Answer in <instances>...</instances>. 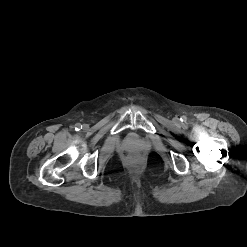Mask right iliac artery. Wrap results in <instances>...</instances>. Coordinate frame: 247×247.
<instances>
[{
	"label": "right iliac artery",
	"instance_id": "1",
	"mask_svg": "<svg viewBox=\"0 0 247 247\" xmlns=\"http://www.w3.org/2000/svg\"><path fill=\"white\" fill-rule=\"evenodd\" d=\"M82 128L80 123L75 124V130H80Z\"/></svg>",
	"mask_w": 247,
	"mask_h": 247
}]
</instances>
